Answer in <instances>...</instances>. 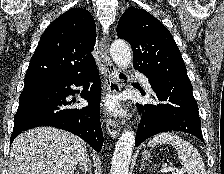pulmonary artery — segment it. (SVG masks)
<instances>
[{"label":"pulmonary artery","mask_w":224,"mask_h":174,"mask_svg":"<svg viewBox=\"0 0 224 174\" xmlns=\"http://www.w3.org/2000/svg\"><path fill=\"white\" fill-rule=\"evenodd\" d=\"M137 76H139L144 84V86L148 89V90H151V86H150V83L148 81V79L141 73L137 72L136 73Z\"/></svg>","instance_id":"obj_1"}]
</instances>
